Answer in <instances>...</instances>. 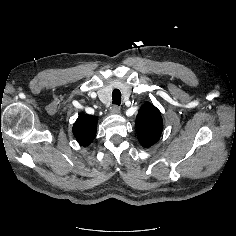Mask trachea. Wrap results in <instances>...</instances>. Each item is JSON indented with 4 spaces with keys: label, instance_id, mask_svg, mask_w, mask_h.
I'll use <instances>...</instances> for the list:
<instances>
[{
    "label": "trachea",
    "instance_id": "3493384b",
    "mask_svg": "<svg viewBox=\"0 0 236 236\" xmlns=\"http://www.w3.org/2000/svg\"><path fill=\"white\" fill-rule=\"evenodd\" d=\"M112 100L113 104L120 105L121 104V92L119 89H114L112 92Z\"/></svg>",
    "mask_w": 236,
    "mask_h": 236
}]
</instances>
